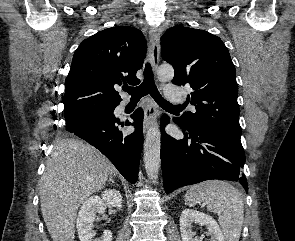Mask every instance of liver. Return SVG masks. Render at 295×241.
Listing matches in <instances>:
<instances>
[{
  "mask_svg": "<svg viewBox=\"0 0 295 241\" xmlns=\"http://www.w3.org/2000/svg\"><path fill=\"white\" fill-rule=\"evenodd\" d=\"M113 173L112 163L81 140H63L54 147L40 181L41 212L53 241H74L79 206Z\"/></svg>",
  "mask_w": 295,
  "mask_h": 241,
  "instance_id": "1",
  "label": "liver"
}]
</instances>
